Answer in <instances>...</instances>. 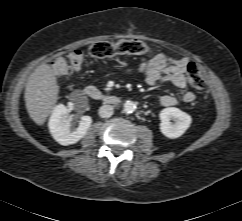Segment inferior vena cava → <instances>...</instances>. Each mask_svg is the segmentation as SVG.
I'll return each instance as SVG.
<instances>
[{
    "label": "inferior vena cava",
    "mask_w": 242,
    "mask_h": 221,
    "mask_svg": "<svg viewBox=\"0 0 242 221\" xmlns=\"http://www.w3.org/2000/svg\"><path fill=\"white\" fill-rule=\"evenodd\" d=\"M112 115H113V106L105 104L99 108V116L101 118H109Z\"/></svg>",
    "instance_id": "obj_1"
}]
</instances>
